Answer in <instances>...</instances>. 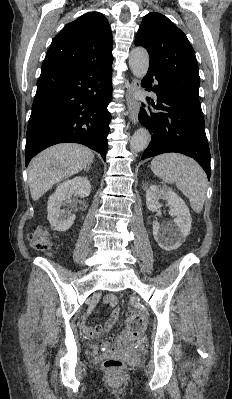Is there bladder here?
Returning a JSON list of instances; mask_svg holds the SVG:
<instances>
[{
    "label": "bladder",
    "mask_w": 232,
    "mask_h": 399,
    "mask_svg": "<svg viewBox=\"0 0 232 399\" xmlns=\"http://www.w3.org/2000/svg\"><path fill=\"white\" fill-rule=\"evenodd\" d=\"M87 348L90 351H96L97 350V346L95 344H91V343L87 344Z\"/></svg>",
    "instance_id": "1"
}]
</instances>
